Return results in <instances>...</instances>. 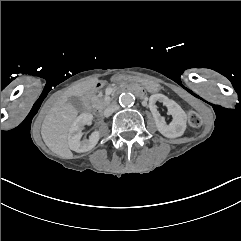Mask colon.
<instances>
[{
  "label": "colon",
  "instance_id": "5ec220e1",
  "mask_svg": "<svg viewBox=\"0 0 241 241\" xmlns=\"http://www.w3.org/2000/svg\"><path fill=\"white\" fill-rule=\"evenodd\" d=\"M188 121H189L190 125L193 127H198L202 124L201 117L194 111H190L188 113Z\"/></svg>",
  "mask_w": 241,
  "mask_h": 241
}]
</instances>
